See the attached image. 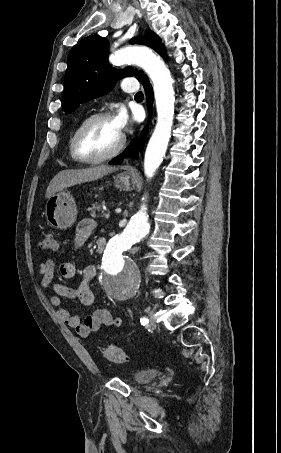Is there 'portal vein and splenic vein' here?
<instances>
[{
  "mask_svg": "<svg viewBox=\"0 0 281 453\" xmlns=\"http://www.w3.org/2000/svg\"><path fill=\"white\" fill-rule=\"evenodd\" d=\"M120 211H121V210H120V207H117L115 213H116V214H120Z\"/></svg>",
  "mask_w": 281,
  "mask_h": 453,
  "instance_id": "portal-vein-and-splenic-vein-1",
  "label": "portal vein and splenic vein"
}]
</instances>
